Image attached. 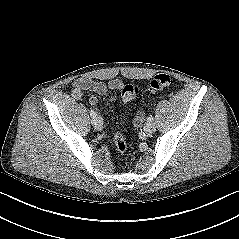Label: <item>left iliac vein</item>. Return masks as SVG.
Segmentation results:
<instances>
[{
  "label": "left iliac vein",
  "instance_id": "left-iliac-vein-1",
  "mask_svg": "<svg viewBox=\"0 0 239 239\" xmlns=\"http://www.w3.org/2000/svg\"><path fill=\"white\" fill-rule=\"evenodd\" d=\"M144 131L147 134H152L155 131V125L152 122H146L144 125Z\"/></svg>",
  "mask_w": 239,
  "mask_h": 239
}]
</instances>
